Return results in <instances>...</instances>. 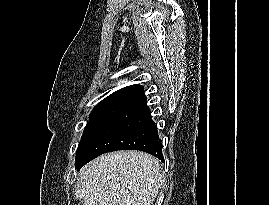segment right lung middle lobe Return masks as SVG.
<instances>
[{
    "instance_id": "dd1d6c3e",
    "label": "right lung middle lobe",
    "mask_w": 269,
    "mask_h": 205,
    "mask_svg": "<svg viewBox=\"0 0 269 205\" xmlns=\"http://www.w3.org/2000/svg\"><path fill=\"white\" fill-rule=\"evenodd\" d=\"M126 110L119 106H95L90 114V121L87 123L83 136L76 152L75 164L79 159L82 150L87 144L118 114Z\"/></svg>"
}]
</instances>
